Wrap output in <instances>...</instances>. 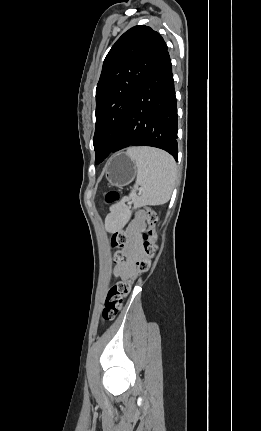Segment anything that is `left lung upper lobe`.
Listing matches in <instances>:
<instances>
[{"instance_id":"5c2ea615","label":"left lung upper lobe","mask_w":261,"mask_h":431,"mask_svg":"<svg viewBox=\"0 0 261 431\" xmlns=\"http://www.w3.org/2000/svg\"><path fill=\"white\" fill-rule=\"evenodd\" d=\"M166 51L162 36L145 25L126 31L110 49L96 88L95 164L116 145L136 93Z\"/></svg>"}]
</instances>
